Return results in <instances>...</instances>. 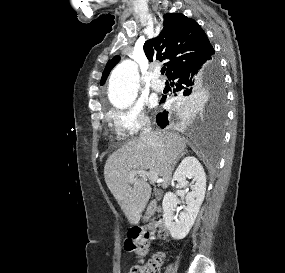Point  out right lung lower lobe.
Masks as SVG:
<instances>
[{
	"instance_id": "1",
	"label": "right lung lower lobe",
	"mask_w": 285,
	"mask_h": 273,
	"mask_svg": "<svg viewBox=\"0 0 285 273\" xmlns=\"http://www.w3.org/2000/svg\"><path fill=\"white\" fill-rule=\"evenodd\" d=\"M214 59L215 58L213 56H207L173 72L170 75L169 80L173 81L174 93L179 92L180 95L187 96L192 94L199 87H201L208 77ZM164 101L165 98H162L161 103H163ZM192 106L193 102L182 103L179 104L178 110L186 112L187 110L191 109ZM170 118L171 115L170 117H168V112L166 111H164V113H159L156 118L157 124L161 128H164L169 124Z\"/></svg>"
}]
</instances>
